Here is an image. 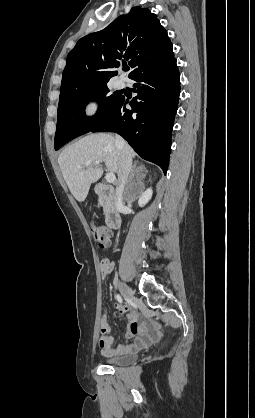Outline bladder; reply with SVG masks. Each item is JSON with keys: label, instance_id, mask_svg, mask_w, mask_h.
<instances>
[{"label": "bladder", "instance_id": "bladder-1", "mask_svg": "<svg viewBox=\"0 0 255 418\" xmlns=\"http://www.w3.org/2000/svg\"><path fill=\"white\" fill-rule=\"evenodd\" d=\"M137 358L136 354H126L104 358V363L112 366H123L133 363Z\"/></svg>", "mask_w": 255, "mask_h": 418}]
</instances>
